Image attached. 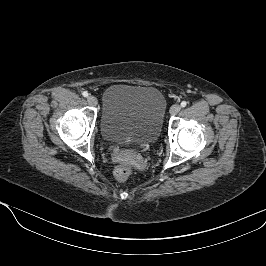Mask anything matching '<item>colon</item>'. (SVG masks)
I'll return each mask as SVG.
<instances>
[{"label":"colon","mask_w":266,"mask_h":266,"mask_svg":"<svg viewBox=\"0 0 266 266\" xmlns=\"http://www.w3.org/2000/svg\"><path fill=\"white\" fill-rule=\"evenodd\" d=\"M132 172V167L129 163L119 164L114 171V175L118 181H125L128 179Z\"/></svg>","instance_id":"colon-1"}]
</instances>
